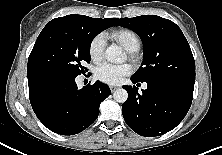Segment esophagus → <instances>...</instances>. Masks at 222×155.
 Returning <instances> with one entry per match:
<instances>
[{
    "label": "esophagus",
    "instance_id": "1",
    "mask_svg": "<svg viewBox=\"0 0 222 155\" xmlns=\"http://www.w3.org/2000/svg\"><path fill=\"white\" fill-rule=\"evenodd\" d=\"M116 89H118V86H114V85L110 86L111 92H114Z\"/></svg>",
    "mask_w": 222,
    "mask_h": 155
}]
</instances>
